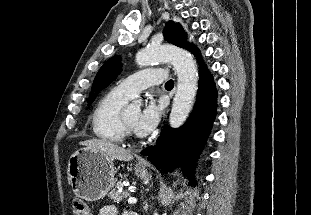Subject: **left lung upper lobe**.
<instances>
[{"mask_svg":"<svg viewBox=\"0 0 311 215\" xmlns=\"http://www.w3.org/2000/svg\"><path fill=\"white\" fill-rule=\"evenodd\" d=\"M163 35L165 40L178 47L188 48L190 46L189 44L185 45L186 34L179 23L168 21L163 30ZM120 60L121 58L119 56H114L106 63H104L100 68L92 85V90L89 96V103H92L98 92L107 87L120 74L122 70V64Z\"/></svg>","mask_w":311,"mask_h":215,"instance_id":"left-lung-upper-lobe-1","label":"left lung upper lobe"}]
</instances>
